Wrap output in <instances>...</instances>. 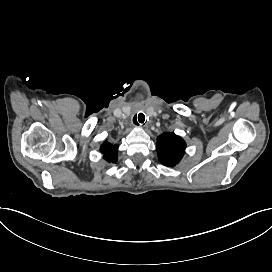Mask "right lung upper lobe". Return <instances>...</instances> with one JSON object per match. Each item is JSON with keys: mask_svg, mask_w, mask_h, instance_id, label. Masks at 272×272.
Segmentation results:
<instances>
[{"mask_svg": "<svg viewBox=\"0 0 272 272\" xmlns=\"http://www.w3.org/2000/svg\"><path fill=\"white\" fill-rule=\"evenodd\" d=\"M100 151L104 154V159L109 163L117 162V145H112L108 142L102 144Z\"/></svg>", "mask_w": 272, "mask_h": 272, "instance_id": "right-lung-upper-lobe-1", "label": "right lung upper lobe"}]
</instances>
